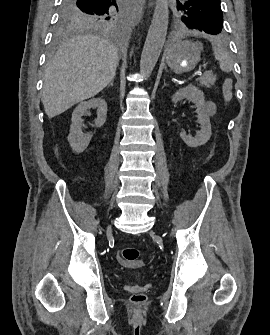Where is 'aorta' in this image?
I'll list each match as a JSON object with an SVG mask.
<instances>
[{
  "mask_svg": "<svg viewBox=\"0 0 270 335\" xmlns=\"http://www.w3.org/2000/svg\"><path fill=\"white\" fill-rule=\"evenodd\" d=\"M168 16L167 0H157L140 60V74L142 76H149L153 72L161 54L166 38Z\"/></svg>",
  "mask_w": 270,
  "mask_h": 335,
  "instance_id": "aorta-1",
  "label": "aorta"
}]
</instances>
